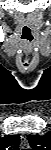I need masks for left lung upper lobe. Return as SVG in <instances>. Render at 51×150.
I'll return each instance as SVG.
<instances>
[{"label": "left lung upper lobe", "instance_id": "obj_1", "mask_svg": "<svg viewBox=\"0 0 51 150\" xmlns=\"http://www.w3.org/2000/svg\"><path fill=\"white\" fill-rule=\"evenodd\" d=\"M28 141L34 150H43L44 147L51 145V132L40 135H28Z\"/></svg>", "mask_w": 51, "mask_h": 150}]
</instances>
